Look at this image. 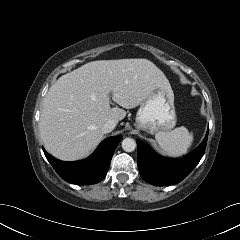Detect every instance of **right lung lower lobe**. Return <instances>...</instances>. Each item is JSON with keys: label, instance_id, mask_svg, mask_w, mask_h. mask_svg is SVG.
I'll return each instance as SVG.
<instances>
[{"label": "right lung lower lobe", "instance_id": "98d812e1", "mask_svg": "<svg viewBox=\"0 0 240 240\" xmlns=\"http://www.w3.org/2000/svg\"><path fill=\"white\" fill-rule=\"evenodd\" d=\"M121 140L122 136H117L102 141L96 151L82 161L63 162L52 157L44 148L43 151L63 180L77 185H90L106 176L114 150Z\"/></svg>", "mask_w": 240, "mask_h": 240}]
</instances>
